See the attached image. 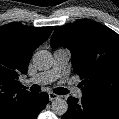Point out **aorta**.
Instances as JSON below:
<instances>
[{
    "label": "aorta",
    "instance_id": "obj_1",
    "mask_svg": "<svg viewBox=\"0 0 119 119\" xmlns=\"http://www.w3.org/2000/svg\"><path fill=\"white\" fill-rule=\"evenodd\" d=\"M33 64L38 70L50 69L53 65V56L47 50H39L33 55ZM52 111L56 115H63L68 110L67 101L62 98H56L52 102Z\"/></svg>",
    "mask_w": 119,
    "mask_h": 119
}]
</instances>
